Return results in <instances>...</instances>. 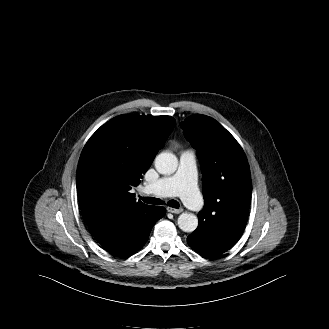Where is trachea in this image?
Instances as JSON below:
<instances>
[{
    "mask_svg": "<svg viewBox=\"0 0 329 329\" xmlns=\"http://www.w3.org/2000/svg\"><path fill=\"white\" fill-rule=\"evenodd\" d=\"M141 199L148 204H154V205H162L164 202L160 199L157 198H152V197H141ZM168 205L172 208H179V203L176 200H170L168 202Z\"/></svg>",
    "mask_w": 329,
    "mask_h": 329,
    "instance_id": "3493384b",
    "label": "trachea"
}]
</instances>
